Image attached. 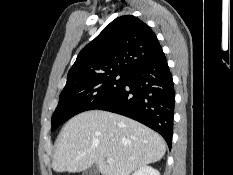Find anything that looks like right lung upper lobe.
I'll use <instances>...</instances> for the list:
<instances>
[{"instance_id": "right-lung-upper-lobe-1", "label": "right lung upper lobe", "mask_w": 233, "mask_h": 175, "mask_svg": "<svg viewBox=\"0 0 233 175\" xmlns=\"http://www.w3.org/2000/svg\"><path fill=\"white\" fill-rule=\"evenodd\" d=\"M162 54L148 25L132 15L121 16L80 51L67 82L110 72L129 74Z\"/></svg>"}]
</instances>
